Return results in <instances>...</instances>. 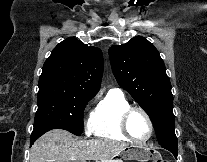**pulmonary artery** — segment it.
<instances>
[{"label":"pulmonary artery","instance_id":"e3ab8cb5","mask_svg":"<svg viewBox=\"0 0 207 162\" xmlns=\"http://www.w3.org/2000/svg\"><path fill=\"white\" fill-rule=\"evenodd\" d=\"M114 90H115V91H120V89H118V88H115ZM120 92H121V91H120Z\"/></svg>","mask_w":207,"mask_h":162}]
</instances>
